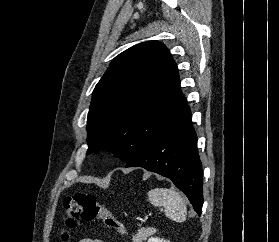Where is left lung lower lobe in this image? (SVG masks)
I'll return each mask as SVG.
<instances>
[{"label":"left lung lower lobe","instance_id":"0a47b994","mask_svg":"<svg viewBox=\"0 0 279 242\" xmlns=\"http://www.w3.org/2000/svg\"><path fill=\"white\" fill-rule=\"evenodd\" d=\"M143 167L172 180L200 214L203 205L202 166L197 135L188 105L179 118L126 167Z\"/></svg>","mask_w":279,"mask_h":242}]
</instances>
